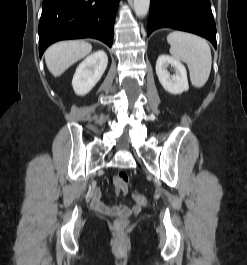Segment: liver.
Returning <instances> with one entry per match:
<instances>
[{
	"label": "liver",
	"mask_w": 247,
	"mask_h": 265,
	"mask_svg": "<svg viewBox=\"0 0 247 265\" xmlns=\"http://www.w3.org/2000/svg\"><path fill=\"white\" fill-rule=\"evenodd\" d=\"M92 45L85 41H62L51 45L45 52L48 70L55 77L62 75L71 65L87 56Z\"/></svg>",
	"instance_id": "1"
}]
</instances>
